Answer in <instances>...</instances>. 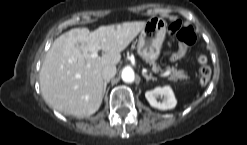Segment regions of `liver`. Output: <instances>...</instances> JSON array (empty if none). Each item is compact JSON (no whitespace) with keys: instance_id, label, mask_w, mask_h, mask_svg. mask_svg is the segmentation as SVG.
I'll list each match as a JSON object with an SVG mask.
<instances>
[{"instance_id":"obj_1","label":"liver","mask_w":247,"mask_h":145,"mask_svg":"<svg viewBox=\"0 0 247 145\" xmlns=\"http://www.w3.org/2000/svg\"><path fill=\"white\" fill-rule=\"evenodd\" d=\"M145 21L100 26L93 32L74 28L55 39L40 70L44 100L57 111L79 118L94 114L103 99L102 69L117 65ZM102 50L101 57L90 54Z\"/></svg>"}]
</instances>
